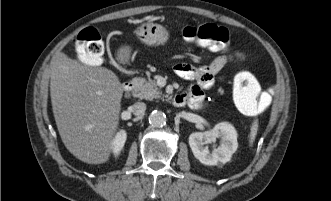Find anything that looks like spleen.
I'll return each mask as SVG.
<instances>
[{
	"label": "spleen",
	"mask_w": 331,
	"mask_h": 201,
	"mask_svg": "<svg viewBox=\"0 0 331 201\" xmlns=\"http://www.w3.org/2000/svg\"><path fill=\"white\" fill-rule=\"evenodd\" d=\"M257 130H258V121L254 120L251 126V131L249 134V144L250 146L253 145V142L255 141L256 135H257Z\"/></svg>",
	"instance_id": "3e777b00"
}]
</instances>
